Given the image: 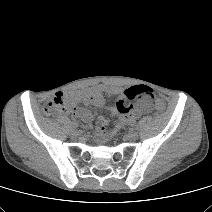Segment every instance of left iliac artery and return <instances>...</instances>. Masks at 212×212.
<instances>
[{"label":"left iliac artery","instance_id":"obj_1","mask_svg":"<svg viewBox=\"0 0 212 212\" xmlns=\"http://www.w3.org/2000/svg\"><path fill=\"white\" fill-rule=\"evenodd\" d=\"M135 129H136V130H138V129H139L138 125H135Z\"/></svg>","mask_w":212,"mask_h":212}]
</instances>
